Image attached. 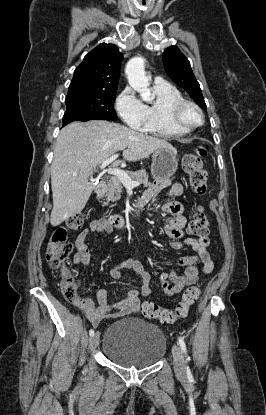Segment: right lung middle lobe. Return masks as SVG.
I'll use <instances>...</instances> for the list:
<instances>
[{
    "label": "right lung middle lobe",
    "mask_w": 266,
    "mask_h": 415,
    "mask_svg": "<svg viewBox=\"0 0 266 415\" xmlns=\"http://www.w3.org/2000/svg\"><path fill=\"white\" fill-rule=\"evenodd\" d=\"M115 99L116 90L68 92L65 99L67 109L63 116V124L76 120H116Z\"/></svg>",
    "instance_id": "obj_1"
}]
</instances>
